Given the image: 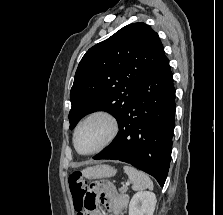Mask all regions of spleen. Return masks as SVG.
<instances>
[{"mask_svg":"<svg viewBox=\"0 0 223 215\" xmlns=\"http://www.w3.org/2000/svg\"><path fill=\"white\" fill-rule=\"evenodd\" d=\"M123 169L132 183V189H135V191H139V189H147V187L148 189H153V181H151L147 173L138 171V169L130 167V165H124Z\"/></svg>","mask_w":223,"mask_h":215,"instance_id":"spleen-1","label":"spleen"}]
</instances>
